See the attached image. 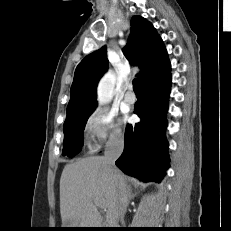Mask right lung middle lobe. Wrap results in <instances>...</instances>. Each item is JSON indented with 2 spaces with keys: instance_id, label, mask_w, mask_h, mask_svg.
<instances>
[{
  "instance_id": "obj_1",
  "label": "right lung middle lobe",
  "mask_w": 231,
  "mask_h": 231,
  "mask_svg": "<svg viewBox=\"0 0 231 231\" xmlns=\"http://www.w3.org/2000/svg\"><path fill=\"white\" fill-rule=\"evenodd\" d=\"M94 109L67 114L63 125L64 142L62 155L73 157L81 151L84 127Z\"/></svg>"
}]
</instances>
